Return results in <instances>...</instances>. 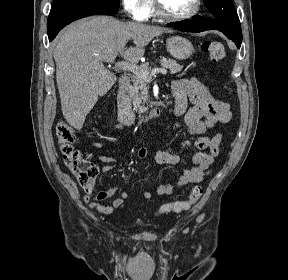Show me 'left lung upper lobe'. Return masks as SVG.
Here are the masks:
<instances>
[{
    "label": "left lung upper lobe",
    "mask_w": 288,
    "mask_h": 280,
    "mask_svg": "<svg viewBox=\"0 0 288 280\" xmlns=\"http://www.w3.org/2000/svg\"><path fill=\"white\" fill-rule=\"evenodd\" d=\"M204 4L214 16L209 22L231 40L242 42L240 21L232 0H204Z\"/></svg>",
    "instance_id": "obj_1"
}]
</instances>
